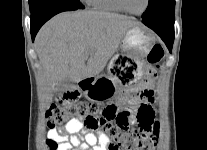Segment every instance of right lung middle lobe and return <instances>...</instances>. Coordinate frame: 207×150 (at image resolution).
Masks as SVG:
<instances>
[{
  "label": "right lung middle lobe",
  "instance_id": "1",
  "mask_svg": "<svg viewBox=\"0 0 207 150\" xmlns=\"http://www.w3.org/2000/svg\"><path fill=\"white\" fill-rule=\"evenodd\" d=\"M56 3L67 4L78 9L84 8V5L79 0H29L30 12H37L45 6Z\"/></svg>",
  "mask_w": 207,
  "mask_h": 150
}]
</instances>
